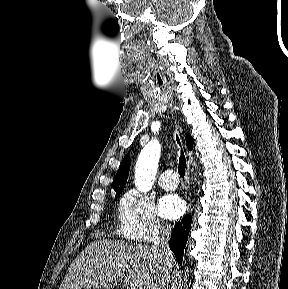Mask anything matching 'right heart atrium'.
Wrapping results in <instances>:
<instances>
[{
	"instance_id": "1",
	"label": "right heart atrium",
	"mask_w": 288,
	"mask_h": 289,
	"mask_svg": "<svg viewBox=\"0 0 288 289\" xmlns=\"http://www.w3.org/2000/svg\"><path fill=\"white\" fill-rule=\"evenodd\" d=\"M118 217L121 234L137 242L155 241L169 231L153 199L137 190H129L122 196Z\"/></svg>"
}]
</instances>
